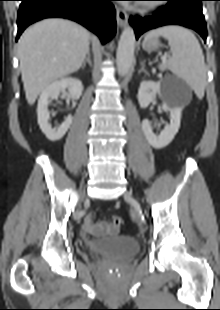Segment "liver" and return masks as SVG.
Masks as SVG:
<instances>
[{
  "label": "liver",
  "instance_id": "6515ba94",
  "mask_svg": "<svg viewBox=\"0 0 220 310\" xmlns=\"http://www.w3.org/2000/svg\"><path fill=\"white\" fill-rule=\"evenodd\" d=\"M90 33L64 19H46L29 27L18 42L26 100L33 105L51 83L77 71L89 51Z\"/></svg>",
  "mask_w": 220,
  "mask_h": 310
}]
</instances>
